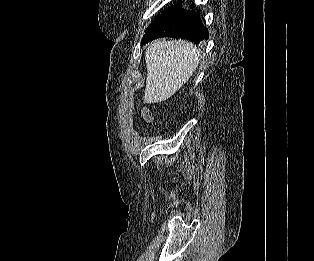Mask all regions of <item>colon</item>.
Masks as SVG:
<instances>
[{"label": "colon", "instance_id": "1", "mask_svg": "<svg viewBox=\"0 0 314 261\" xmlns=\"http://www.w3.org/2000/svg\"><path fill=\"white\" fill-rule=\"evenodd\" d=\"M142 117H143V119L146 120V121H150V120H151V114H150V112L147 111V110H144V111L142 112Z\"/></svg>", "mask_w": 314, "mask_h": 261}]
</instances>
